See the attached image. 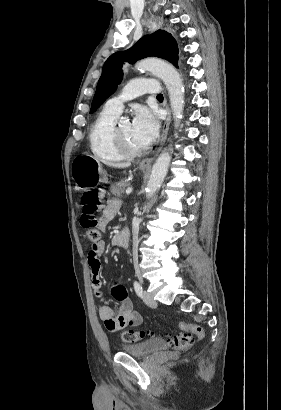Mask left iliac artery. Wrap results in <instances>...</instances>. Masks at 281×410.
I'll use <instances>...</instances> for the list:
<instances>
[{"label": "left iliac artery", "mask_w": 281, "mask_h": 410, "mask_svg": "<svg viewBox=\"0 0 281 410\" xmlns=\"http://www.w3.org/2000/svg\"><path fill=\"white\" fill-rule=\"evenodd\" d=\"M134 290L139 297L142 296L143 289H142V286L137 281H134Z\"/></svg>", "instance_id": "obj_1"}]
</instances>
